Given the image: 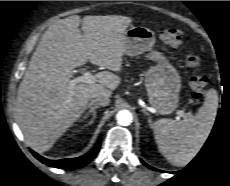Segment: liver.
<instances>
[{
	"label": "liver",
	"mask_w": 230,
	"mask_h": 186,
	"mask_svg": "<svg viewBox=\"0 0 230 186\" xmlns=\"http://www.w3.org/2000/svg\"><path fill=\"white\" fill-rule=\"evenodd\" d=\"M132 19L126 16L73 15L49 26L42 35L20 83L16 115L25 142L37 152L48 151L79 119L95 93L106 94L120 84L109 71L96 74L92 84L77 83L73 69L90 61L114 72L122 69L125 32ZM82 25L84 34L79 30Z\"/></svg>",
	"instance_id": "liver-1"
}]
</instances>
